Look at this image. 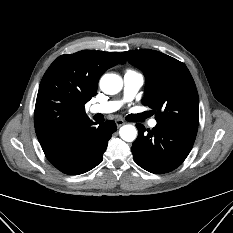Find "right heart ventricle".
Masks as SVG:
<instances>
[{
    "mask_svg": "<svg viewBox=\"0 0 233 233\" xmlns=\"http://www.w3.org/2000/svg\"><path fill=\"white\" fill-rule=\"evenodd\" d=\"M128 72L132 73V72H134V71H132V70H128V71H127V73H128ZM134 73H135V72H134Z\"/></svg>",
    "mask_w": 233,
    "mask_h": 233,
    "instance_id": "1",
    "label": "right heart ventricle"
}]
</instances>
